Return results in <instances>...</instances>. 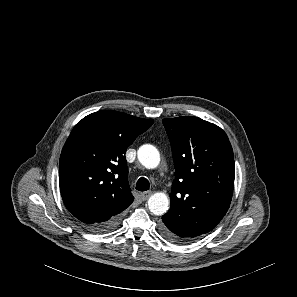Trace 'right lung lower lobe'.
I'll return each instance as SVG.
<instances>
[{
	"instance_id": "1",
	"label": "right lung lower lobe",
	"mask_w": 297,
	"mask_h": 297,
	"mask_svg": "<svg viewBox=\"0 0 297 297\" xmlns=\"http://www.w3.org/2000/svg\"><path fill=\"white\" fill-rule=\"evenodd\" d=\"M121 216H122L121 214L115 215L105 222L87 226L86 228L95 233L109 232L115 229L119 225Z\"/></svg>"
}]
</instances>
